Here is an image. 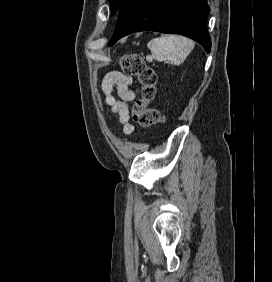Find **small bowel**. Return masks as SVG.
Wrapping results in <instances>:
<instances>
[{
  "mask_svg": "<svg viewBox=\"0 0 272 282\" xmlns=\"http://www.w3.org/2000/svg\"><path fill=\"white\" fill-rule=\"evenodd\" d=\"M102 90L105 94V102L122 124L123 132L131 135L135 128L129 119V106L136 94L132 78L120 72L111 71L102 81ZM114 90L117 91V97L113 94Z\"/></svg>",
  "mask_w": 272,
  "mask_h": 282,
  "instance_id": "c3829d8e",
  "label": "small bowel"
}]
</instances>
